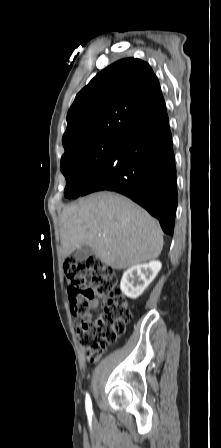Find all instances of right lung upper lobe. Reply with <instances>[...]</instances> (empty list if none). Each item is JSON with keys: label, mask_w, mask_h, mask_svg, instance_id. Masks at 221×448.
Returning a JSON list of instances; mask_svg holds the SVG:
<instances>
[{"label": "right lung upper lobe", "mask_w": 221, "mask_h": 448, "mask_svg": "<svg viewBox=\"0 0 221 448\" xmlns=\"http://www.w3.org/2000/svg\"><path fill=\"white\" fill-rule=\"evenodd\" d=\"M164 104L159 81L148 63L135 58L119 60L77 94L62 138L65 153L84 143L119 137Z\"/></svg>", "instance_id": "obj_1"}]
</instances>
